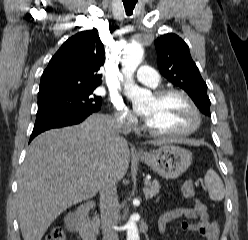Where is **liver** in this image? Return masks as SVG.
<instances>
[{"label":"liver","instance_id":"obj_1","mask_svg":"<svg viewBox=\"0 0 248 240\" xmlns=\"http://www.w3.org/2000/svg\"><path fill=\"white\" fill-rule=\"evenodd\" d=\"M163 145L166 141H152ZM127 141L101 114L79 125L52 129L30 144L18 179L17 210L24 240H41L67 208L93 198L108 175L118 181L129 167Z\"/></svg>","mask_w":248,"mask_h":240}]
</instances>
